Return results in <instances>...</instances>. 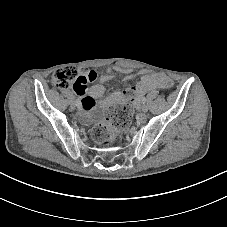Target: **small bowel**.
Instances as JSON below:
<instances>
[{"label":"small bowel","mask_w":227,"mask_h":227,"mask_svg":"<svg viewBox=\"0 0 227 227\" xmlns=\"http://www.w3.org/2000/svg\"><path fill=\"white\" fill-rule=\"evenodd\" d=\"M113 72L130 74L131 70L127 68H121L114 66L109 69L106 75H103L100 80L102 83L95 84L91 87H87L88 82H92L97 79V73L93 70H84L80 72L81 79L74 83L73 89L80 96L81 106L80 119L82 122L90 121V112L96 107L97 99L100 98L106 91V87L103 83L113 78ZM131 77V76H130ZM173 86V81L169 77L163 74H148L142 77L140 84L137 87V93L135 96V103H138L141 97L156 89H170ZM123 99V95L119 92L112 94L106 100L99 103L102 107H108Z\"/></svg>","instance_id":"c3829d8e"}]
</instances>
